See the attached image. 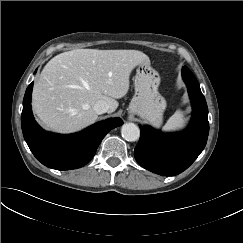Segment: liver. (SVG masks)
Here are the masks:
<instances>
[{
	"label": "liver",
	"mask_w": 243,
	"mask_h": 243,
	"mask_svg": "<svg viewBox=\"0 0 243 243\" xmlns=\"http://www.w3.org/2000/svg\"><path fill=\"white\" fill-rule=\"evenodd\" d=\"M149 58L138 50L75 49L52 58L34 84L32 107L45 128L73 133L93 124L96 102L108 113L130 86L132 70Z\"/></svg>",
	"instance_id": "6515ba94"
}]
</instances>
